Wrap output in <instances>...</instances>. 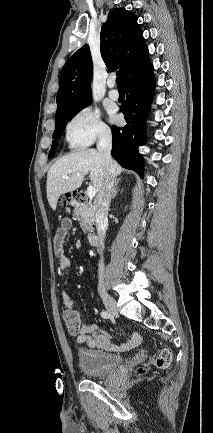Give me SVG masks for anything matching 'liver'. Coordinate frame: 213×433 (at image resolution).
Wrapping results in <instances>:
<instances>
[{"mask_svg": "<svg viewBox=\"0 0 213 433\" xmlns=\"http://www.w3.org/2000/svg\"><path fill=\"white\" fill-rule=\"evenodd\" d=\"M115 174L120 175L121 166L113 161ZM89 174L96 192H100L105 177V161L96 149L74 151L58 159L47 174V199L50 207L55 210L59 197L79 188L85 175ZM63 175L68 178L64 179Z\"/></svg>", "mask_w": 213, "mask_h": 433, "instance_id": "obj_1", "label": "liver"}]
</instances>
